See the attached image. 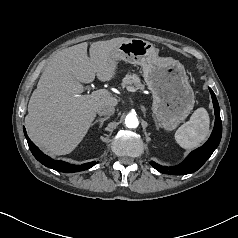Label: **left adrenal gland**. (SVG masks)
Wrapping results in <instances>:
<instances>
[{"mask_svg": "<svg viewBox=\"0 0 238 238\" xmlns=\"http://www.w3.org/2000/svg\"><path fill=\"white\" fill-rule=\"evenodd\" d=\"M154 121H155V124H156V126H157V122H156L155 118H154Z\"/></svg>", "mask_w": 238, "mask_h": 238, "instance_id": "1", "label": "left adrenal gland"}]
</instances>
